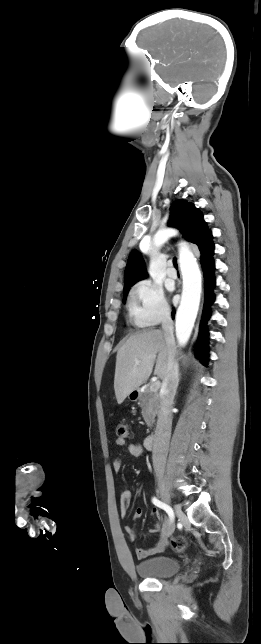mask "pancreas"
Here are the masks:
<instances>
[{
	"instance_id": "cf45deb5",
	"label": "pancreas",
	"mask_w": 261,
	"mask_h": 644,
	"mask_svg": "<svg viewBox=\"0 0 261 644\" xmlns=\"http://www.w3.org/2000/svg\"><path fill=\"white\" fill-rule=\"evenodd\" d=\"M141 409L142 416L148 427H151L155 422V417L157 414L158 408V394L156 392L150 391L149 388L145 389L144 393L141 395Z\"/></svg>"
}]
</instances>
